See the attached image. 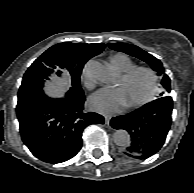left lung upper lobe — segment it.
Returning a JSON list of instances; mask_svg holds the SVG:
<instances>
[{
    "mask_svg": "<svg viewBox=\"0 0 194 193\" xmlns=\"http://www.w3.org/2000/svg\"><path fill=\"white\" fill-rule=\"evenodd\" d=\"M108 46L111 49L122 51L126 54H129L131 56L137 57L148 64L151 65L153 70L157 71L158 75H164L162 79V85L165 88L166 92H170V79L169 77L164 74V68L160 60L152 56L151 54L145 52L144 50L140 49L139 47L131 44H125V43H108ZM166 92H163L161 96H166Z\"/></svg>",
    "mask_w": 194,
    "mask_h": 193,
    "instance_id": "left-lung-upper-lobe-1",
    "label": "left lung upper lobe"
}]
</instances>
